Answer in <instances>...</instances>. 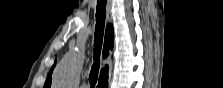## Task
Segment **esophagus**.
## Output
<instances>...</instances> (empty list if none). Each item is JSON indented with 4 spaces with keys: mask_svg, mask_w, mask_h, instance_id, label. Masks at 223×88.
I'll return each mask as SVG.
<instances>
[{
    "mask_svg": "<svg viewBox=\"0 0 223 88\" xmlns=\"http://www.w3.org/2000/svg\"><path fill=\"white\" fill-rule=\"evenodd\" d=\"M111 8H112V2H111V0H108V2H107V20H108V22L112 21Z\"/></svg>",
    "mask_w": 223,
    "mask_h": 88,
    "instance_id": "esophagus-1",
    "label": "esophagus"
}]
</instances>
